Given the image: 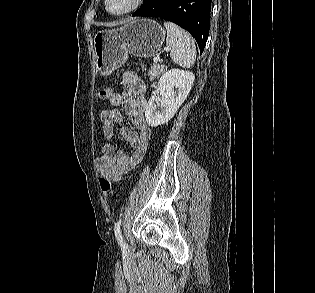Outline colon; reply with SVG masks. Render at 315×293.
<instances>
[{
  "label": "colon",
  "instance_id": "1",
  "mask_svg": "<svg viewBox=\"0 0 315 293\" xmlns=\"http://www.w3.org/2000/svg\"><path fill=\"white\" fill-rule=\"evenodd\" d=\"M113 93V90L111 88L103 89L99 92V98L101 100H108L110 95ZM100 188L102 193L106 197H110L115 194L114 189H113V184L111 180L107 178H101L100 179Z\"/></svg>",
  "mask_w": 315,
  "mask_h": 293
}]
</instances>
